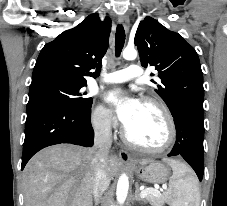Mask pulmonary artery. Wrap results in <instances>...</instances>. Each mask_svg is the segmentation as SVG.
Masks as SVG:
<instances>
[{
    "label": "pulmonary artery",
    "mask_w": 227,
    "mask_h": 206,
    "mask_svg": "<svg viewBox=\"0 0 227 206\" xmlns=\"http://www.w3.org/2000/svg\"><path fill=\"white\" fill-rule=\"evenodd\" d=\"M143 71L140 66L132 64L127 68L113 71L107 74L104 78L105 83H123L132 79L140 78Z\"/></svg>",
    "instance_id": "1"
}]
</instances>
